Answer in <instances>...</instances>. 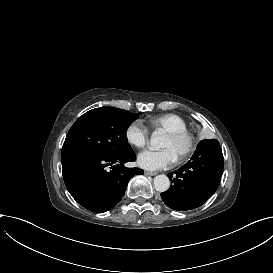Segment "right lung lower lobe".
Here are the masks:
<instances>
[{"instance_id": "right-lung-lower-lobe-1", "label": "right lung lower lobe", "mask_w": 273, "mask_h": 273, "mask_svg": "<svg viewBox=\"0 0 273 273\" xmlns=\"http://www.w3.org/2000/svg\"><path fill=\"white\" fill-rule=\"evenodd\" d=\"M135 159L133 150L120 155H73L62 160L63 179L81 206L103 213L121 200L134 175L143 174L142 169L124 167V163Z\"/></svg>"}]
</instances>
